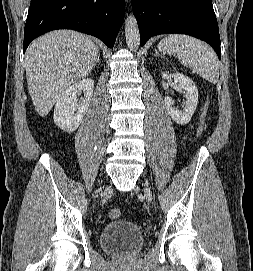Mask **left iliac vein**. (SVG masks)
<instances>
[{"mask_svg": "<svg viewBox=\"0 0 253 271\" xmlns=\"http://www.w3.org/2000/svg\"><path fill=\"white\" fill-rule=\"evenodd\" d=\"M144 195H145V198L148 202L152 201L153 195H152V192H151V189H150L148 183H145V185H144Z\"/></svg>", "mask_w": 253, "mask_h": 271, "instance_id": "4c4485c4", "label": "left iliac vein"}]
</instances>
